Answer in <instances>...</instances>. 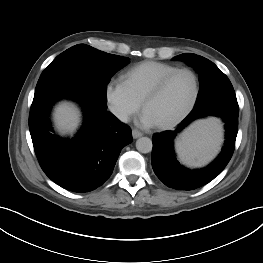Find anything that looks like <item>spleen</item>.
<instances>
[{
    "label": "spleen",
    "instance_id": "obj_1",
    "mask_svg": "<svg viewBox=\"0 0 263 263\" xmlns=\"http://www.w3.org/2000/svg\"><path fill=\"white\" fill-rule=\"evenodd\" d=\"M222 141V126L215 118L192 124L177 141L180 159L191 166H201L213 158Z\"/></svg>",
    "mask_w": 263,
    "mask_h": 263
}]
</instances>
